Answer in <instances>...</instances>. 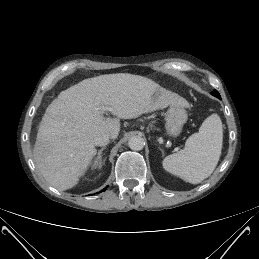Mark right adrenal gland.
Listing matches in <instances>:
<instances>
[{
    "label": "right adrenal gland",
    "instance_id": "obj_1",
    "mask_svg": "<svg viewBox=\"0 0 259 259\" xmlns=\"http://www.w3.org/2000/svg\"><path fill=\"white\" fill-rule=\"evenodd\" d=\"M105 149H106V148L103 147V148H101V149L98 151L97 158L95 159L94 164H93V169H96V168H100V167H101V164H102V152H103Z\"/></svg>",
    "mask_w": 259,
    "mask_h": 259
}]
</instances>
